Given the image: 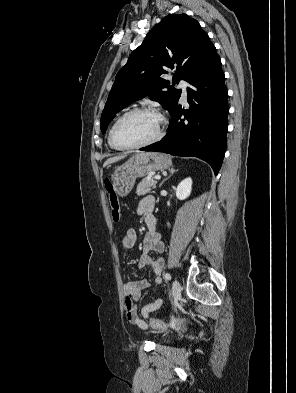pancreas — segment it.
Returning <instances> with one entry per match:
<instances>
[{"mask_svg":"<svg viewBox=\"0 0 296 393\" xmlns=\"http://www.w3.org/2000/svg\"><path fill=\"white\" fill-rule=\"evenodd\" d=\"M156 183L157 181L153 177L142 179L137 186L136 194L140 196L149 193L152 188H156Z\"/></svg>","mask_w":296,"mask_h":393,"instance_id":"1","label":"pancreas"}]
</instances>
